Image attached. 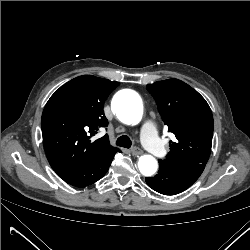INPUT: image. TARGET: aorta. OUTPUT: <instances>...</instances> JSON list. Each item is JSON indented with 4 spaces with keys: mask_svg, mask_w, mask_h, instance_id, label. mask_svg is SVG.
<instances>
[{
    "mask_svg": "<svg viewBox=\"0 0 250 250\" xmlns=\"http://www.w3.org/2000/svg\"><path fill=\"white\" fill-rule=\"evenodd\" d=\"M112 111L120 115L127 124L137 123L143 115L142 100L137 93L131 90L118 92L112 100ZM157 160L151 155L139 158L138 168L144 176H151L157 171Z\"/></svg>",
    "mask_w": 250,
    "mask_h": 250,
    "instance_id": "1",
    "label": "aorta"
}]
</instances>
